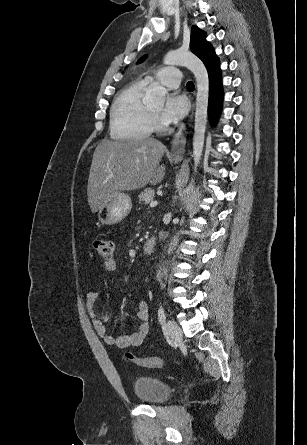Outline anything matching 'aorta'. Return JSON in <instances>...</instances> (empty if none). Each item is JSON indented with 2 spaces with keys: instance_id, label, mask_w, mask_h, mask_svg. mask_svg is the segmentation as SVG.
Instances as JSON below:
<instances>
[{
  "instance_id": "1",
  "label": "aorta",
  "mask_w": 307,
  "mask_h": 445,
  "mask_svg": "<svg viewBox=\"0 0 307 445\" xmlns=\"http://www.w3.org/2000/svg\"><path fill=\"white\" fill-rule=\"evenodd\" d=\"M163 64H179V66H187L189 70H192L196 82H197V94L195 104V126H194V138H193V154H194V170L196 172L197 166L202 156V150L204 146L205 128L207 122V110H208V98H209V78L206 66H204L202 60L195 56L193 52L189 50H168L163 58ZM167 94V88L165 86H159V84H153L145 92L143 98L144 104L149 106H163L165 96ZM194 178H191L190 184L186 188L187 194H190L194 188ZM178 220V218H177Z\"/></svg>"
}]
</instances>
